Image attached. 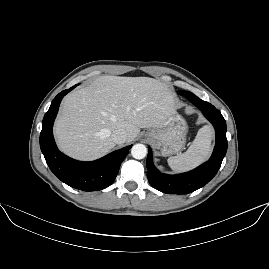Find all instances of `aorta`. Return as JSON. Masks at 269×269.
Listing matches in <instances>:
<instances>
[{
    "instance_id": "1",
    "label": "aorta",
    "mask_w": 269,
    "mask_h": 269,
    "mask_svg": "<svg viewBox=\"0 0 269 269\" xmlns=\"http://www.w3.org/2000/svg\"><path fill=\"white\" fill-rule=\"evenodd\" d=\"M147 154V149L143 144H135L131 148V155L135 159H143Z\"/></svg>"
}]
</instances>
